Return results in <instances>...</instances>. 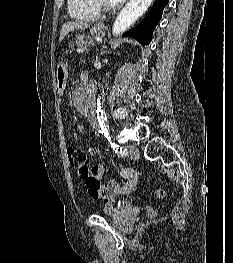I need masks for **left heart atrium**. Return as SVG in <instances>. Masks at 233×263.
I'll use <instances>...</instances> for the list:
<instances>
[{
	"label": "left heart atrium",
	"instance_id": "left-heart-atrium-1",
	"mask_svg": "<svg viewBox=\"0 0 233 263\" xmlns=\"http://www.w3.org/2000/svg\"><path fill=\"white\" fill-rule=\"evenodd\" d=\"M114 4H119L124 2L125 0H112Z\"/></svg>",
	"mask_w": 233,
	"mask_h": 263
}]
</instances>
